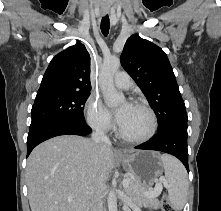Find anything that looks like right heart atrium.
<instances>
[{
  "instance_id": "d8ad5b80",
  "label": "right heart atrium",
  "mask_w": 221,
  "mask_h": 211,
  "mask_svg": "<svg viewBox=\"0 0 221 211\" xmlns=\"http://www.w3.org/2000/svg\"><path fill=\"white\" fill-rule=\"evenodd\" d=\"M85 116L90 127L98 132L106 133L113 126L109 111L95 95H90L85 103Z\"/></svg>"
}]
</instances>
